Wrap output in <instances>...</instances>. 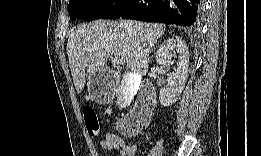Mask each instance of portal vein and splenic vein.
I'll use <instances>...</instances> for the list:
<instances>
[{"label": "portal vein and splenic vein", "mask_w": 261, "mask_h": 156, "mask_svg": "<svg viewBox=\"0 0 261 156\" xmlns=\"http://www.w3.org/2000/svg\"><path fill=\"white\" fill-rule=\"evenodd\" d=\"M102 57H109V55H106V54H102ZM112 61L114 63H116L117 65H123L125 63V60L122 59V58H118V57H115V58H112Z\"/></svg>", "instance_id": "18ae733b"}]
</instances>
